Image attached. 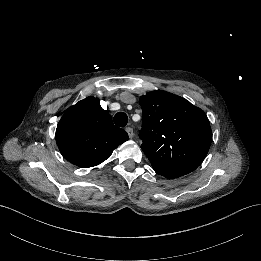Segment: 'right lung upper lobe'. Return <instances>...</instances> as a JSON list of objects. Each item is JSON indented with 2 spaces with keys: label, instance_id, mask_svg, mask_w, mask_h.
I'll return each mask as SVG.
<instances>
[{
  "label": "right lung upper lobe",
  "instance_id": "right-lung-upper-lobe-1",
  "mask_svg": "<svg viewBox=\"0 0 261 261\" xmlns=\"http://www.w3.org/2000/svg\"><path fill=\"white\" fill-rule=\"evenodd\" d=\"M127 140L128 134L114 126L99 99L92 96L70 108L56 130V142L63 157L82 168L102 163Z\"/></svg>",
  "mask_w": 261,
  "mask_h": 261
}]
</instances>
